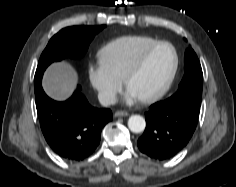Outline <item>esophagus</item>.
<instances>
[{
  "label": "esophagus",
  "instance_id": "34e87169",
  "mask_svg": "<svg viewBox=\"0 0 236 187\" xmlns=\"http://www.w3.org/2000/svg\"><path fill=\"white\" fill-rule=\"evenodd\" d=\"M128 115H129V113L126 112V111H116V112L114 113V116H115V117H125V116H128Z\"/></svg>",
  "mask_w": 236,
  "mask_h": 187
}]
</instances>
